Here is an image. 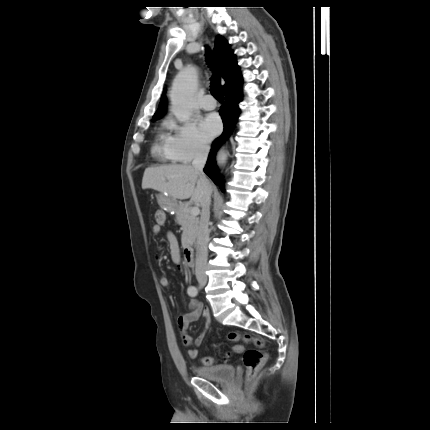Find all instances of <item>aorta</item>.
Instances as JSON below:
<instances>
[{
    "label": "aorta",
    "instance_id": "762f6f07",
    "mask_svg": "<svg viewBox=\"0 0 430 430\" xmlns=\"http://www.w3.org/2000/svg\"><path fill=\"white\" fill-rule=\"evenodd\" d=\"M196 76L191 70L180 73L173 82L170 91L171 108L180 121L190 118L196 90ZM226 154L221 149L217 155L219 164H223Z\"/></svg>",
    "mask_w": 430,
    "mask_h": 430
}]
</instances>
